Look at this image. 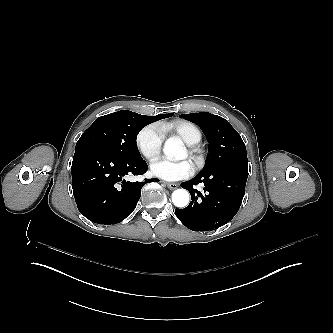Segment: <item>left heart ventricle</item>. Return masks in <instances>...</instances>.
Here are the masks:
<instances>
[{
    "label": "left heart ventricle",
    "instance_id": "obj_1",
    "mask_svg": "<svg viewBox=\"0 0 333 333\" xmlns=\"http://www.w3.org/2000/svg\"><path fill=\"white\" fill-rule=\"evenodd\" d=\"M186 157H188V151H187V153H186V155H185V157H184V158H186Z\"/></svg>",
    "mask_w": 333,
    "mask_h": 333
}]
</instances>
